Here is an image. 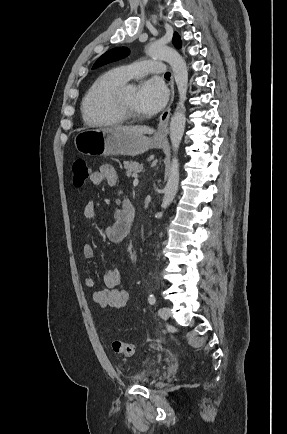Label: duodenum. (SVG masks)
Masks as SVG:
<instances>
[{"mask_svg":"<svg viewBox=\"0 0 287 434\" xmlns=\"http://www.w3.org/2000/svg\"><path fill=\"white\" fill-rule=\"evenodd\" d=\"M125 214L129 225L131 226L136 217V210L131 203L126 204Z\"/></svg>","mask_w":287,"mask_h":434,"instance_id":"duodenum-1","label":"duodenum"}]
</instances>
